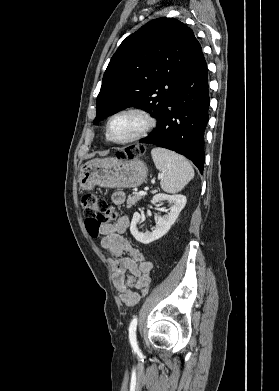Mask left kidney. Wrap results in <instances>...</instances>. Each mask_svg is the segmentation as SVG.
Instances as JSON below:
<instances>
[{
	"instance_id": "left-kidney-1",
	"label": "left kidney",
	"mask_w": 279,
	"mask_h": 391,
	"mask_svg": "<svg viewBox=\"0 0 279 391\" xmlns=\"http://www.w3.org/2000/svg\"><path fill=\"white\" fill-rule=\"evenodd\" d=\"M152 200L153 202L168 201L169 203H172L173 206L166 215L156 217V226L152 232L147 231L142 233L138 230V224L141 221L142 216L137 212L134 213L130 225V231L133 237L143 244H149L164 236L174 224L187 202L186 197L181 194L167 195L159 193L156 194Z\"/></svg>"
}]
</instances>
